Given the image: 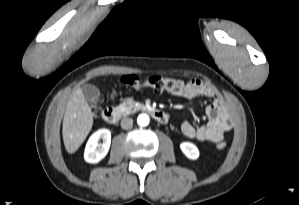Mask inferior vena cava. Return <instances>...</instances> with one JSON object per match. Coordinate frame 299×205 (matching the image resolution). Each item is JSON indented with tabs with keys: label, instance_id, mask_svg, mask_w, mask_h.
<instances>
[{
	"label": "inferior vena cava",
	"instance_id": "obj_1",
	"mask_svg": "<svg viewBox=\"0 0 299 205\" xmlns=\"http://www.w3.org/2000/svg\"><path fill=\"white\" fill-rule=\"evenodd\" d=\"M133 126V120L131 118H123L121 120V127L123 129H130Z\"/></svg>",
	"mask_w": 299,
	"mask_h": 205
}]
</instances>
